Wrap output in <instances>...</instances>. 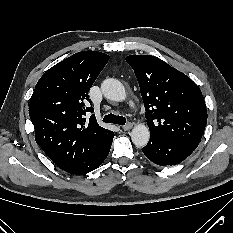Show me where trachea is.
<instances>
[{
  "label": "trachea",
  "instance_id": "3493384b",
  "mask_svg": "<svg viewBox=\"0 0 233 233\" xmlns=\"http://www.w3.org/2000/svg\"><path fill=\"white\" fill-rule=\"evenodd\" d=\"M103 122L105 123H113L118 125H125L126 119L123 116L108 114L103 118Z\"/></svg>",
  "mask_w": 233,
  "mask_h": 233
}]
</instances>
